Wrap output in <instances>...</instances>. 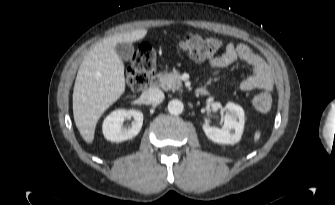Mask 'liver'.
<instances>
[{"mask_svg": "<svg viewBox=\"0 0 335 205\" xmlns=\"http://www.w3.org/2000/svg\"><path fill=\"white\" fill-rule=\"evenodd\" d=\"M146 29L119 33L93 46L84 57L73 90L76 127L87 143H92L101 115L125 91L124 64L115 51L118 43L143 39Z\"/></svg>", "mask_w": 335, "mask_h": 205, "instance_id": "obj_1", "label": "liver"}]
</instances>
